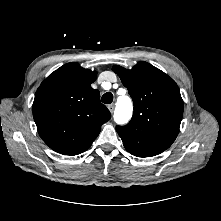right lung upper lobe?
<instances>
[{"label": "right lung upper lobe", "mask_w": 221, "mask_h": 221, "mask_svg": "<svg viewBox=\"0 0 221 221\" xmlns=\"http://www.w3.org/2000/svg\"><path fill=\"white\" fill-rule=\"evenodd\" d=\"M96 71L67 63L47 77L37 89L32 106L43 141L63 155L86 151L111 113L91 87Z\"/></svg>", "instance_id": "cb5924a9"}]
</instances>
